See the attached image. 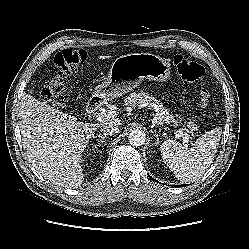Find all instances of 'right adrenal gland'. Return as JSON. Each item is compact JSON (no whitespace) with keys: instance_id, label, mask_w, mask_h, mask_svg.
Segmentation results:
<instances>
[{"instance_id":"1","label":"right adrenal gland","mask_w":249,"mask_h":249,"mask_svg":"<svg viewBox=\"0 0 249 249\" xmlns=\"http://www.w3.org/2000/svg\"><path fill=\"white\" fill-rule=\"evenodd\" d=\"M107 136H111V134H106V133H103L102 135L101 134H96V136L94 138H101V143L104 142V139L107 137Z\"/></svg>"}]
</instances>
